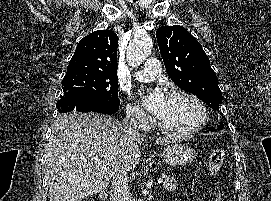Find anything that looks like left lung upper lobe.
I'll return each mask as SVG.
<instances>
[{"label": "left lung upper lobe", "instance_id": "5c2ea615", "mask_svg": "<svg viewBox=\"0 0 271 201\" xmlns=\"http://www.w3.org/2000/svg\"><path fill=\"white\" fill-rule=\"evenodd\" d=\"M166 71L181 89L219 110L222 93L218 79L201 44L182 26H162L156 31Z\"/></svg>", "mask_w": 271, "mask_h": 201}]
</instances>
